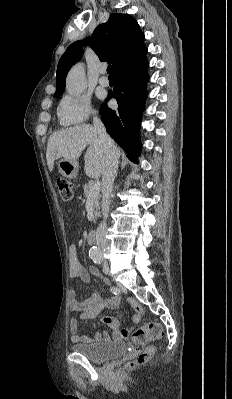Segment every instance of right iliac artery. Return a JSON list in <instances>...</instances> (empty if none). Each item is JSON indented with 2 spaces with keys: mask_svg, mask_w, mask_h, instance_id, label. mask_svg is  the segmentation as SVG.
I'll return each instance as SVG.
<instances>
[{
  "mask_svg": "<svg viewBox=\"0 0 232 399\" xmlns=\"http://www.w3.org/2000/svg\"><path fill=\"white\" fill-rule=\"evenodd\" d=\"M92 259H93V261H94L95 263L100 264V263H102V261H103V256H102V255H93V256H92Z\"/></svg>",
  "mask_w": 232,
  "mask_h": 399,
  "instance_id": "82829eb1",
  "label": "right iliac artery"
}]
</instances>
